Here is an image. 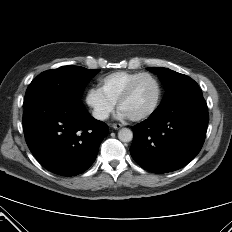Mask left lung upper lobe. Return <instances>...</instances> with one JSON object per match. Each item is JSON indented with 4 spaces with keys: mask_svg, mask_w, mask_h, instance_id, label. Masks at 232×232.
<instances>
[{
    "mask_svg": "<svg viewBox=\"0 0 232 232\" xmlns=\"http://www.w3.org/2000/svg\"><path fill=\"white\" fill-rule=\"evenodd\" d=\"M148 70L158 75L166 90L156 110L164 109L180 98L200 90L198 84L192 78L184 74L161 67H150Z\"/></svg>",
    "mask_w": 232,
    "mask_h": 232,
    "instance_id": "5c2ea615",
    "label": "left lung upper lobe"
}]
</instances>
